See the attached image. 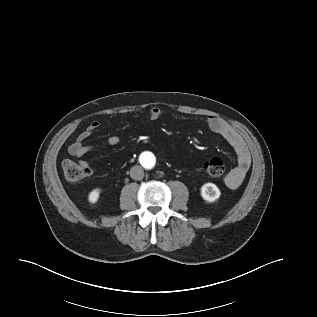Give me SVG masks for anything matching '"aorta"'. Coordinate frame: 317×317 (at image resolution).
I'll use <instances>...</instances> for the list:
<instances>
[{
  "label": "aorta",
  "instance_id": "aorta-1",
  "mask_svg": "<svg viewBox=\"0 0 317 317\" xmlns=\"http://www.w3.org/2000/svg\"><path fill=\"white\" fill-rule=\"evenodd\" d=\"M141 164L146 168V169H152L154 168L155 165V158L151 154H143L140 158Z\"/></svg>",
  "mask_w": 317,
  "mask_h": 317
}]
</instances>
